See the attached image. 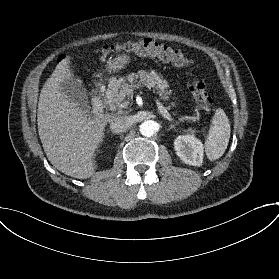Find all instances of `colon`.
<instances>
[{"label": "colon", "instance_id": "5ec220e1", "mask_svg": "<svg viewBox=\"0 0 279 279\" xmlns=\"http://www.w3.org/2000/svg\"><path fill=\"white\" fill-rule=\"evenodd\" d=\"M104 53L106 55L131 53L138 56L153 57L178 67H186L192 64V60L179 50L148 39L107 45L104 48ZM63 62L71 65L67 59H64ZM192 93L194 99L202 108L209 109L212 106L211 95L203 79H197L193 82Z\"/></svg>", "mask_w": 279, "mask_h": 279}]
</instances>
